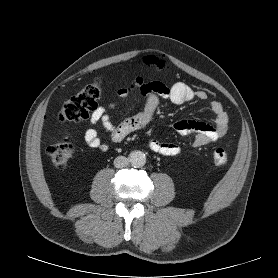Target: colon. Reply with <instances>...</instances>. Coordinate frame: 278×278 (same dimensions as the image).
<instances>
[{
	"instance_id": "colon-1",
	"label": "colon",
	"mask_w": 278,
	"mask_h": 278,
	"mask_svg": "<svg viewBox=\"0 0 278 278\" xmlns=\"http://www.w3.org/2000/svg\"><path fill=\"white\" fill-rule=\"evenodd\" d=\"M144 61L155 65L158 69L164 67V61L157 56L148 55ZM100 95L101 82L96 79L62 105L59 119L63 122H80L87 119L97 108ZM74 152V146L67 139L54 141L46 149L47 157L57 168H64L73 157ZM210 157L216 166H224L229 162L228 154L223 148L214 149Z\"/></svg>"
}]
</instances>
